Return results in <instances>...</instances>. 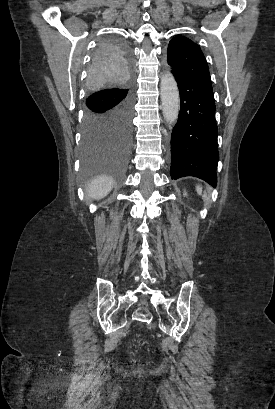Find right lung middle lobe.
<instances>
[{"label": "right lung middle lobe", "mask_w": 275, "mask_h": 409, "mask_svg": "<svg viewBox=\"0 0 275 409\" xmlns=\"http://www.w3.org/2000/svg\"><path fill=\"white\" fill-rule=\"evenodd\" d=\"M134 58L135 51L115 35L97 43L86 82L79 181L101 173L122 181L132 144ZM99 187L119 188L120 184L100 183Z\"/></svg>", "instance_id": "1"}]
</instances>
